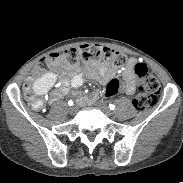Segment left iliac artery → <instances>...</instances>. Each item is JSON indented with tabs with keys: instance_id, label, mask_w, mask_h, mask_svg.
I'll list each match as a JSON object with an SVG mask.
<instances>
[{
	"instance_id": "1",
	"label": "left iliac artery",
	"mask_w": 183,
	"mask_h": 183,
	"mask_svg": "<svg viewBox=\"0 0 183 183\" xmlns=\"http://www.w3.org/2000/svg\"><path fill=\"white\" fill-rule=\"evenodd\" d=\"M109 108H110V110H114L115 109V105L114 104H110Z\"/></svg>"
}]
</instances>
